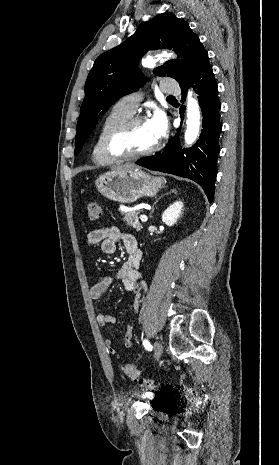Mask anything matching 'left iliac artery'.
Returning a JSON list of instances; mask_svg holds the SVG:
<instances>
[{
	"instance_id": "1",
	"label": "left iliac artery",
	"mask_w": 279,
	"mask_h": 465,
	"mask_svg": "<svg viewBox=\"0 0 279 465\" xmlns=\"http://www.w3.org/2000/svg\"><path fill=\"white\" fill-rule=\"evenodd\" d=\"M143 345L145 346V348H146L147 350H149V351L152 350V346H151V344H150L147 340H144V341H143Z\"/></svg>"
}]
</instances>
